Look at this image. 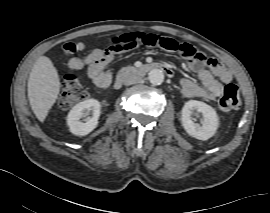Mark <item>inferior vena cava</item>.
Returning a JSON list of instances; mask_svg holds the SVG:
<instances>
[{"label": "inferior vena cava", "mask_w": 270, "mask_h": 213, "mask_svg": "<svg viewBox=\"0 0 270 213\" xmlns=\"http://www.w3.org/2000/svg\"><path fill=\"white\" fill-rule=\"evenodd\" d=\"M141 81H142V78L140 76L129 75L124 79L123 83L125 85H132V84L140 83Z\"/></svg>", "instance_id": "inferior-vena-cava-1"}]
</instances>
